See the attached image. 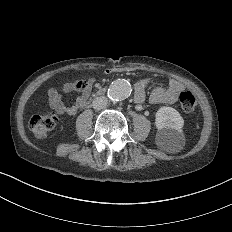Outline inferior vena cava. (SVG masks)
Returning <instances> with one entry per match:
<instances>
[{
	"mask_svg": "<svg viewBox=\"0 0 232 232\" xmlns=\"http://www.w3.org/2000/svg\"><path fill=\"white\" fill-rule=\"evenodd\" d=\"M106 106H107V98L105 97H98L92 102V107L96 111H102L105 109Z\"/></svg>",
	"mask_w": 232,
	"mask_h": 232,
	"instance_id": "1",
	"label": "inferior vena cava"
}]
</instances>
